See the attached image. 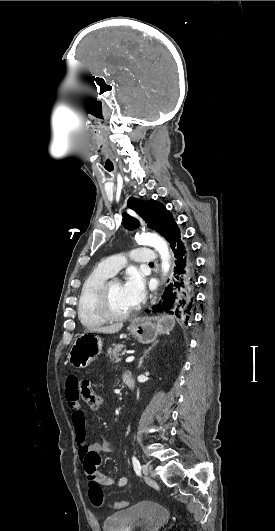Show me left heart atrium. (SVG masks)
<instances>
[{"label": "left heart atrium", "instance_id": "left-heart-atrium-1", "mask_svg": "<svg viewBox=\"0 0 275 531\" xmlns=\"http://www.w3.org/2000/svg\"><path fill=\"white\" fill-rule=\"evenodd\" d=\"M144 285V276L138 269L132 268L126 272L123 289L133 307L138 306L141 302L144 294Z\"/></svg>", "mask_w": 275, "mask_h": 531}]
</instances>
